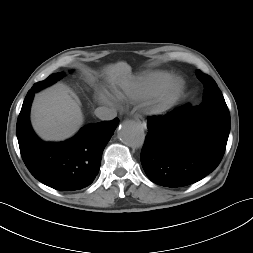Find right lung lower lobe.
<instances>
[{
  "instance_id": "98d812e1",
  "label": "right lung lower lobe",
  "mask_w": 253,
  "mask_h": 253,
  "mask_svg": "<svg viewBox=\"0 0 253 253\" xmlns=\"http://www.w3.org/2000/svg\"><path fill=\"white\" fill-rule=\"evenodd\" d=\"M35 92L29 90L16 128L26 167L37 180L56 190L74 191L90 185L99 172L103 150L119 119L91 123L67 141L46 143L35 135L29 121Z\"/></svg>"
}]
</instances>
